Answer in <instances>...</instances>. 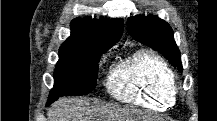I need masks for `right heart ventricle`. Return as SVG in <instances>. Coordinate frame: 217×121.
I'll return each instance as SVG.
<instances>
[{"label":"right heart ventricle","instance_id":"obj_1","mask_svg":"<svg viewBox=\"0 0 217 121\" xmlns=\"http://www.w3.org/2000/svg\"><path fill=\"white\" fill-rule=\"evenodd\" d=\"M171 83L167 62L156 53L142 49L111 71L107 88L117 100L161 110L173 101Z\"/></svg>","mask_w":217,"mask_h":121}]
</instances>
